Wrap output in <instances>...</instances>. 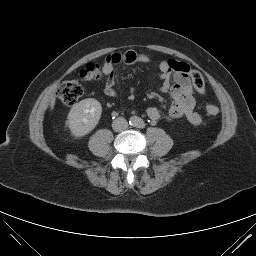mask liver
Here are the masks:
<instances>
[{
    "label": "liver",
    "instance_id": "1",
    "mask_svg": "<svg viewBox=\"0 0 256 256\" xmlns=\"http://www.w3.org/2000/svg\"><path fill=\"white\" fill-rule=\"evenodd\" d=\"M54 105H55V98L53 97V98L51 99V103H50L51 109L54 108Z\"/></svg>",
    "mask_w": 256,
    "mask_h": 256
}]
</instances>
